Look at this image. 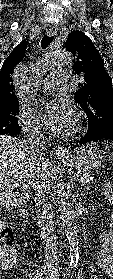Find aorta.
I'll use <instances>...</instances> for the list:
<instances>
[{
    "instance_id": "1",
    "label": "aorta",
    "mask_w": 113,
    "mask_h": 279,
    "mask_svg": "<svg viewBox=\"0 0 113 279\" xmlns=\"http://www.w3.org/2000/svg\"><path fill=\"white\" fill-rule=\"evenodd\" d=\"M72 62V54L65 49L54 51L47 58V66L49 68L68 66ZM57 193L61 197L59 205L60 222L70 245L69 266L75 267L78 265L80 252L76 214L71 203L67 200L68 196L63 188L58 189Z\"/></svg>"
}]
</instances>
